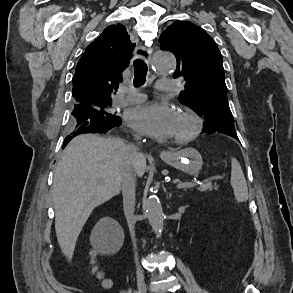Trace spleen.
Returning a JSON list of instances; mask_svg holds the SVG:
<instances>
[{
	"label": "spleen",
	"instance_id": "3e777b00",
	"mask_svg": "<svg viewBox=\"0 0 293 293\" xmlns=\"http://www.w3.org/2000/svg\"><path fill=\"white\" fill-rule=\"evenodd\" d=\"M231 185L238 202L248 200V188L242 168L236 158L231 161Z\"/></svg>",
	"mask_w": 293,
	"mask_h": 293
}]
</instances>
